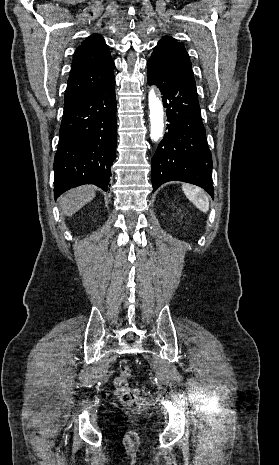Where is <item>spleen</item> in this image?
<instances>
[{"label":"spleen","mask_w":279,"mask_h":465,"mask_svg":"<svg viewBox=\"0 0 279 465\" xmlns=\"http://www.w3.org/2000/svg\"><path fill=\"white\" fill-rule=\"evenodd\" d=\"M182 190L186 197L202 212L209 210V200L204 192L200 188H192L191 186L184 184Z\"/></svg>","instance_id":"3e777b00"}]
</instances>
